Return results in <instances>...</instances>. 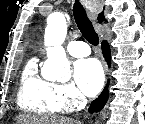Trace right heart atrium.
I'll use <instances>...</instances> for the list:
<instances>
[{
    "instance_id": "right-heart-atrium-1",
    "label": "right heart atrium",
    "mask_w": 145,
    "mask_h": 124,
    "mask_svg": "<svg viewBox=\"0 0 145 124\" xmlns=\"http://www.w3.org/2000/svg\"><path fill=\"white\" fill-rule=\"evenodd\" d=\"M55 101L60 111L71 112L84 103V98L72 84H56Z\"/></svg>"
}]
</instances>
